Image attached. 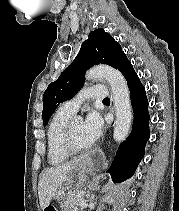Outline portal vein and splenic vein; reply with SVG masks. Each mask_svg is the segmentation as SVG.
<instances>
[{"mask_svg": "<svg viewBox=\"0 0 179 211\" xmlns=\"http://www.w3.org/2000/svg\"><path fill=\"white\" fill-rule=\"evenodd\" d=\"M83 195H84V192L82 191L78 193V196H83Z\"/></svg>", "mask_w": 179, "mask_h": 211, "instance_id": "18ae733b", "label": "portal vein and splenic vein"}]
</instances>
